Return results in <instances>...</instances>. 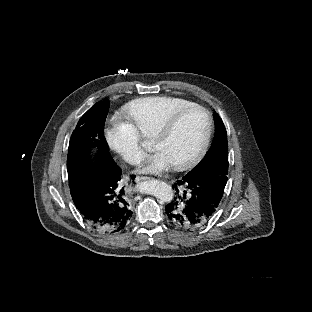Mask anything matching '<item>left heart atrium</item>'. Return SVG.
I'll return each mask as SVG.
<instances>
[{
	"instance_id": "obj_1",
	"label": "left heart atrium",
	"mask_w": 312,
	"mask_h": 312,
	"mask_svg": "<svg viewBox=\"0 0 312 312\" xmlns=\"http://www.w3.org/2000/svg\"><path fill=\"white\" fill-rule=\"evenodd\" d=\"M169 153L163 152L155 157V160L141 162L136 165L135 171L138 176H162L169 172L172 165Z\"/></svg>"
}]
</instances>
